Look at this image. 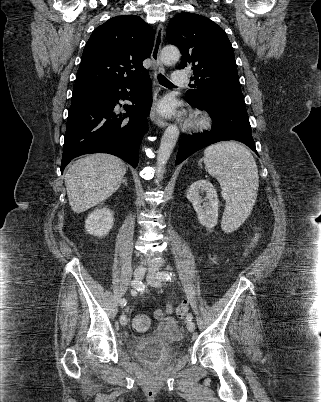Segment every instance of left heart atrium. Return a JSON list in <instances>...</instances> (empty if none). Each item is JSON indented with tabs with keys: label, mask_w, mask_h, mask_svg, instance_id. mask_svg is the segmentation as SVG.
Instances as JSON below:
<instances>
[{
	"label": "left heart atrium",
	"mask_w": 321,
	"mask_h": 402,
	"mask_svg": "<svg viewBox=\"0 0 321 402\" xmlns=\"http://www.w3.org/2000/svg\"><path fill=\"white\" fill-rule=\"evenodd\" d=\"M159 111L161 114L166 115V116H170L173 114L174 110H173V105L170 102H164L160 108Z\"/></svg>",
	"instance_id": "39dd6f15"
}]
</instances>
